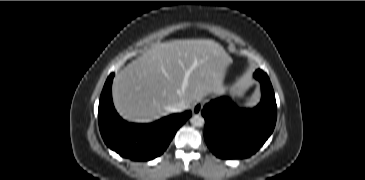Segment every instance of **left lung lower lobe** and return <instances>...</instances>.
<instances>
[{
	"label": "left lung lower lobe",
	"instance_id": "0a47b994",
	"mask_svg": "<svg viewBox=\"0 0 365 180\" xmlns=\"http://www.w3.org/2000/svg\"><path fill=\"white\" fill-rule=\"evenodd\" d=\"M261 102L253 109H241L221 98L206 104L204 137L210 150L219 158H247L254 154L272 134L277 118L273 87L265 72L258 69Z\"/></svg>",
	"mask_w": 365,
	"mask_h": 180
}]
</instances>
